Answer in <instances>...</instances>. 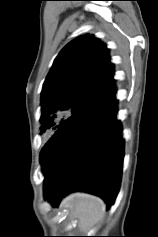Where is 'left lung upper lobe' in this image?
<instances>
[{
  "mask_svg": "<svg viewBox=\"0 0 158 237\" xmlns=\"http://www.w3.org/2000/svg\"><path fill=\"white\" fill-rule=\"evenodd\" d=\"M107 47L92 35L78 37L56 57L42 89L41 133L57 130L102 92L114 87Z\"/></svg>",
  "mask_w": 158,
  "mask_h": 237,
  "instance_id": "left-lung-upper-lobe-1",
  "label": "left lung upper lobe"
}]
</instances>
